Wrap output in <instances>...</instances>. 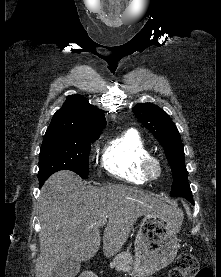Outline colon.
I'll use <instances>...</instances> for the list:
<instances>
[{"label": "colon", "mask_w": 221, "mask_h": 277, "mask_svg": "<svg viewBox=\"0 0 221 277\" xmlns=\"http://www.w3.org/2000/svg\"><path fill=\"white\" fill-rule=\"evenodd\" d=\"M169 277H213V274L209 268H200L196 257L180 254Z\"/></svg>", "instance_id": "1"}]
</instances>
